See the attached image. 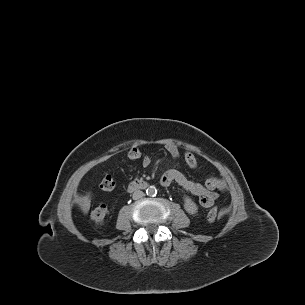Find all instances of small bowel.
Wrapping results in <instances>:
<instances>
[{
	"instance_id": "c3829d8e",
	"label": "small bowel",
	"mask_w": 305,
	"mask_h": 305,
	"mask_svg": "<svg viewBox=\"0 0 305 305\" xmlns=\"http://www.w3.org/2000/svg\"><path fill=\"white\" fill-rule=\"evenodd\" d=\"M165 149L174 161H177L180 158V151L175 144H166ZM183 158L189 168H197V159L191 150L185 149L183 152ZM141 163L144 167H147L150 165L151 159L148 156H143ZM160 183L163 186H169L172 183H177L183 189L198 197L200 205L205 208L212 207L215 203L216 199L218 198V193L216 190L221 192L226 191V185L224 181L214 174H208L205 182L202 184L189 180L177 168H171L167 170L161 176Z\"/></svg>"
}]
</instances>
